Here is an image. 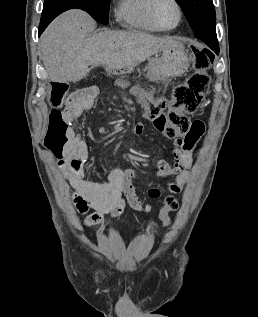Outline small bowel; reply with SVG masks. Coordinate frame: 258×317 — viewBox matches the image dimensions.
<instances>
[{"mask_svg":"<svg viewBox=\"0 0 258 317\" xmlns=\"http://www.w3.org/2000/svg\"><path fill=\"white\" fill-rule=\"evenodd\" d=\"M96 89L87 87L69 95L64 111L72 120L93 107ZM143 124L138 123L135 131L141 134ZM205 132V125L200 120L192 122L189 132L175 139L172 149V163L159 160L155 174L166 179L168 190L179 193L190 180V170L194 163L193 152ZM64 171V177L69 183L73 195V203L77 211L87 214L84 223L93 226L101 223L106 216L117 217L129 205L137 211L148 212L149 206H144L135 192L132 184L134 174L129 170L113 168L106 171V181H91L87 177L86 163L89 160V148L77 133L71 142L59 153H55ZM175 176V178H171ZM152 198H157L160 191L152 188L149 191Z\"/></svg>","mask_w":258,"mask_h":317,"instance_id":"c3829d8e","label":"small bowel"}]
</instances>
